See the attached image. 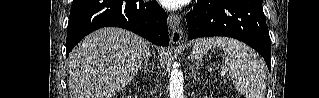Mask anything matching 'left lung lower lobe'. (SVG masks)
<instances>
[{
	"instance_id": "1",
	"label": "left lung lower lobe",
	"mask_w": 319,
	"mask_h": 98,
	"mask_svg": "<svg viewBox=\"0 0 319 98\" xmlns=\"http://www.w3.org/2000/svg\"><path fill=\"white\" fill-rule=\"evenodd\" d=\"M188 39L226 36L247 43L271 70V40L260 0H197L186 15Z\"/></svg>"
}]
</instances>
